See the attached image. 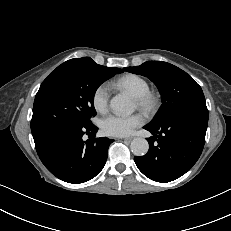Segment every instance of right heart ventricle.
I'll list each match as a JSON object with an SVG mask.
<instances>
[{
  "label": "right heart ventricle",
  "mask_w": 231,
  "mask_h": 231,
  "mask_svg": "<svg viewBox=\"0 0 231 231\" xmlns=\"http://www.w3.org/2000/svg\"><path fill=\"white\" fill-rule=\"evenodd\" d=\"M111 85L117 89L128 91L134 97L141 96L150 90L149 82L142 76L133 73L117 78Z\"/></svg>",
  "instance_id": "obj_1"
}]
</instances>
